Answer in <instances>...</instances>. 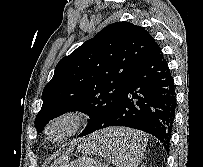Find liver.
I'll return each mask as SVG.
<instances>
[{
	"label": "liver",
	"mask_w": 203,
	"mask_h": 167,
	"mask_svg": "<svg viewBox=\"0 0 203 167\" xmlns=\"http://www.w3.org/2000/svg\"><path fill=\"white\" fill-rule=\"evenodd\" d=\"M145 137V134L131 129H115L113 132H110L108 135H104L102 139L105 138H112V139H118L120 141L125 142V145L133 149L140 144L141 139ZM68 166V159L67 158H61L60 160L55 161L51 167H67Z\"/></svg>",
	"instance_id": "1"
}]
</instances>
